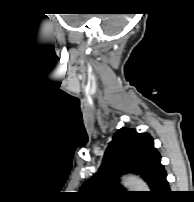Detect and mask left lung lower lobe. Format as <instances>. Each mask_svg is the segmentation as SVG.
Listing matches in <instances>:
<instances>
[{"label":"left lung lower lobe","instance_id":"obj_1","mask_svg":"<svg viewBox=\"0 0 194 202\" xmlns=\"http://www.w3.org/2000/svg\"><path fill=\"white\" fill-rule=\"evenodd\" d=\"M166 176L167 174L163 167L153 187V190L151 191V194L156 198H166L168 194H170L169 184L166 180Z\"/></svg>","mask_w":194,"mask_h":202}]
</instances>
